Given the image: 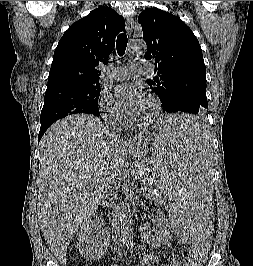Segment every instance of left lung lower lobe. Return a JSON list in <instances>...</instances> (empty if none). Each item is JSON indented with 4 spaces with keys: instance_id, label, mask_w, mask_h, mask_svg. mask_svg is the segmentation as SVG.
Listing matches in <instances>:
<instances>
[{
    "instance_id": "obj_1",
    "label": "left lung lower lobe",
    "mask_w": 253,
    "mask_h": 266,
    "mask_svg": "<svg viewBox=\"0 0 253 266\" xmlns=\"http://www.w3.org/2000/svg\"><path fill=\"white\" fill-rule=\"evenodd\" d=\"M173 112H188L196 115L191 119L189 126L186 128L190 131H195L196 129H201L203 127V120L198 118L202 114L203 106L200 103V100L193 94H184L182 95L174 109H171Z\"/></svg>"
}]
</instances>
